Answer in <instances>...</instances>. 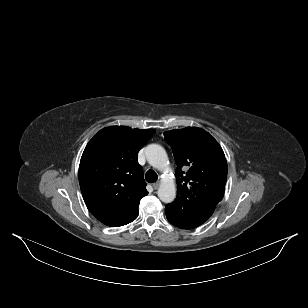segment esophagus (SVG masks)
<instances>
[{"mask_svg":"<svg viewBox=\"0 0 308 308\" xmlns=\"http://www.w3.org/2000/svg\"><path fill=\"white\" fill-rule=\"evenodd\" d=\"M159 181L158 182H155V183H153V188L156 190V189H158V187H159Z\"/></svg>","mask_w":308,"mask_h":308,"instance_id":"esophagus-1","label":"esophagus"}]
</instances>
